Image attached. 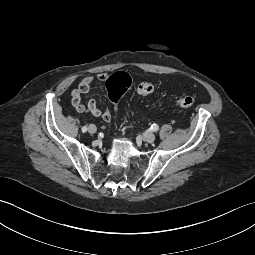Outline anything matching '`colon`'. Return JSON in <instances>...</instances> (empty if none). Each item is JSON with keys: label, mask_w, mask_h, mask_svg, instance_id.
I'll use <instances>...</instances> for the list:
<instances>
[{"label": "colon", "mask_w": 255, "mask_h": 255, "mask_svg": "<svg viewBox=\"0 0 255 255\" xmlns=\"http://www.w3.org/2000/svg\"><path fill=\"white\" fill-rule=\"evenodd\" d=\"M132 78L126 72L119 71L112 74L106 82L108 97L112 103L117 106L121 97L132 87ZM155 86L148 82H142L136 87L140 95H149L153 93ZM176 105L180 108H190L196 103L192 96L180 97L176 100Z\"/></svg>", "instance_id": "5ec220e1"}]
</instances>
